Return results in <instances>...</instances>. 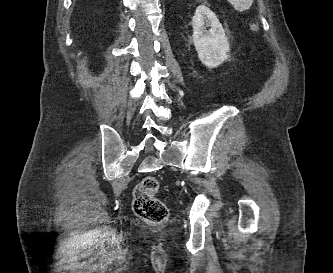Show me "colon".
I'll list each match as a JSON object with an SVG mask.
<instances>
[{
    "label": "colon",
    "mask_w": 333,
    "mask_h": 273,
    "mask_svg": "<svg viewBox=\"0 0 333 273\" xmlns=\"http://www.w3.org/2000/svg\"><path fill=\"white\" fill-rule=\"evenodd\" d=\"M252 30H258V24H252ZM159 182L155 177H145L136 187L133 194L135 214L149 224L164 223L169 215L167 206L156 197Z\"/></svg>",
    "instance_id": "5ec220e1"
}]
</instances>
